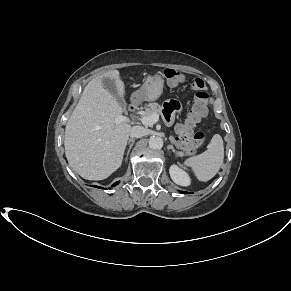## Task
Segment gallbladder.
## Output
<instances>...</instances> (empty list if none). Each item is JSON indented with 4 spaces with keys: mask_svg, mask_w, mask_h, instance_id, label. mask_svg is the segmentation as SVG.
Masks as SVG:
<instances>
[{
    "mask_svg": "<svg viewBox=\"0 0 291 291\" xmlns=\"http://www.w3.org/2000/svg\"><path fill=\"white\" fill-rule=\"evenodd\" d=\"M103 86L106 90H108L115 97L118 104L122 108L126 107V103H125L124 99L118 94L114 80H111L109 78H104L103 79Z\"/></svg>",
    "mask_w": 291,
    "mask_h": 291,
    "instance_id": "bac80fb5",
    "label": "gallbladder"
}]
</instances>
